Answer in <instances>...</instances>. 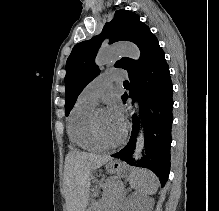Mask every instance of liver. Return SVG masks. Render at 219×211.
I'll return each mask as SVG.
<instances>
[{"label": "liver", "mask_w": 219, "mask_h": 211, "mask_svg": "<svg viewBox=\"0 0 219 211\" xmlns=\"http://www.w3.org/2000/svg\"><path fill=\"white\" fill-rule=\"evenodd\" d=\"M111 155L69 151L65 157V199L67 211H85L88 205L90 173L110 161Z\"/></svg>", "instance_id": "liver-1"}]
</instances>
